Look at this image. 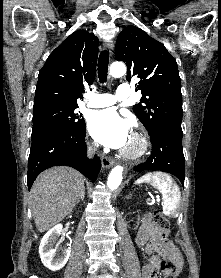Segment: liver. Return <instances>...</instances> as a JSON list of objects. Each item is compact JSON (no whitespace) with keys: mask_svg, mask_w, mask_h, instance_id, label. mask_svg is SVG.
<instances>
[{"mask_svg":"<svg viewBox=\"0 0 221 278\" xmlns=\"http://www.w3.org/2000/svg\"><path fill=\"white\" fill-rule=\"evenodd\" d=\"M84 177L57 166L42 172L30 191V208L36 228L44 232L69 215L84 190Z\"/></svg>","mask_w":221,"mask_h":278,"instance_id":"6515ba94","label":"liver"}]
</instances>
